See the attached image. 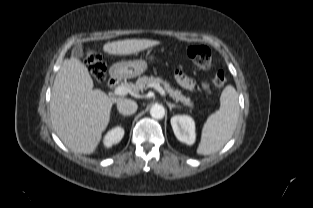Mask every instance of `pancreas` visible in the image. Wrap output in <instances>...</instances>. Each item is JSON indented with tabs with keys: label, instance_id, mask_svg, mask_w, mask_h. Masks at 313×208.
Wrapping results in <instances>:
<instances>
[{
	"label": "pancreas",
	"instance_id": "cf45deb5",
	"mask_svg": "<svg viewBox=\"0 0 313 208\" xmlns=\"http://www.w3.org/2000/svg\"><path fill=\"white\" fill-rule=\"evenodd\" d=\"M150 84H161L164 86L165 91L176 101L181 102L183 105L190 107L193 109L194 104L189 97L184 96L181 91L173 89L170 84L166 81H163L159 77L155 78L153 76L147 77H139L135 84H128V87L137 92L139 90L146 89Z\"/></svg>",
	"mask_w": 313,
	"mask_h": 208
}]
</instances>
